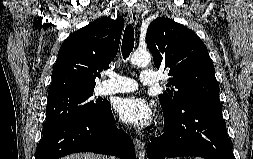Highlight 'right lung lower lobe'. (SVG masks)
<instances>
[{
  "label": "right lung lower lobe",
  "mask_w": 253,
  "mask_h": 159,
  "mask_svg": "<svg viewBox=\"0 0 253 159\" xmlns=\"http://www.w3.org/2000/svg\"><path fill=\"white\" fill-rule=\"evenodd\" d=\"M76 152L135 159L132 140L117 129L110 103L97 115H80L43 133L36 159H58Z\"/></svg>",
  "instance_id": "1"
}]
</instances>
